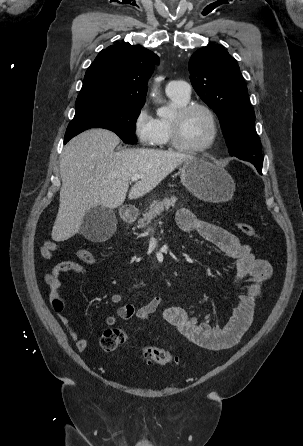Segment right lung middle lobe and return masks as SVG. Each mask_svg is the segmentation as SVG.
Instances as JSON below:
<instances>
[{
	"label": "right lung middle lobe",
	"instance_id": "right-lung-middle-lobe-1",
	"mask_svg": "<svg viewBox=\"0 0 303 446\" xmlns=\"http://www.w3.org/2000/svg\"><path fill=\"white\" fill-rule=\"evenodd\" d=\"M142 106L119 103H94L76 106L69 123L64 143L90 128H104L115 132L125 143L134 144L135 123Z\"/></svg>",
	"mask_w": 303,
	"mask_h": 446
}]
</instances>
